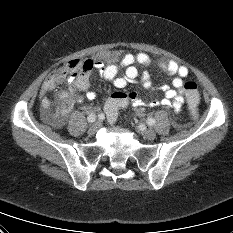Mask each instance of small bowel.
Segmentation results:
<instances>
[{
    "mask_svg": "<svg viewBox=\"0 0 233 233\" xmlns=\"http://www.w3.org/2000/svg\"><path fill=\"white\" fill-rule=\"evenodd\" d=\"M107 64L101 61L93 62V68L97 69L100 75L107 81L111 82L117 89L126 87L128 81L139 77V70L136 65L149 66L152 63L151 58L146 53L122 54L112 51L105 55ZM156 67L165 73L176 75L172 81V87L164 89V98L159 102L156 100H148L144 102L140 100L135 93H129L130 103L140 108L142 106L157 107L163 105L171 107L174 111H180L184 104V78L188 76V68L185 65L175 61H156ZM125 69L123 76H118L119 70ZM50 76L43 83L44 89ZM140 83L145 90L152 86V81L148 72H143L140 75ZM97 97L95 92L89 91V73L80 77L69 78V89L58 93L53 101L52 110L47 113L48 121L55 127H60L66 122V117L70 112L75 101H82L84 98L93 100Z\"/></svg>",
    "mask_w": 233,
    "mask_h": 233,
    "instance_id": "c3829d8e",
    "label": "small bowel"
}]
</instances>
